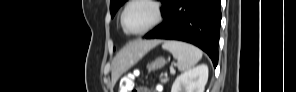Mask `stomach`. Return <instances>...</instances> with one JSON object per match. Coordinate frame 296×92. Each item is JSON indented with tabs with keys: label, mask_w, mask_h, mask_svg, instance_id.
Segmentation results:
<instances>
[{
	"label": "stomach",
	"mask_w": 296,
	"mask_h": 92,
	"mask_svg": "<svg viewBox=\"0 0 296 92\" xmlns=\"http://www.w3.org/2000/svg\"><path fill=\"white\" fill-rule=\"evenodd\" d=\"M166 61L164 58L160 57L155 59L152 63L147 65L148 71H154L162 68L165 65Z\"/></svg>",
	"instance_id": "obj_1"
}]
</instances>
